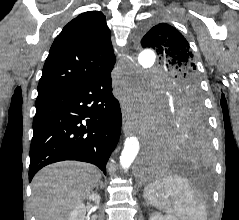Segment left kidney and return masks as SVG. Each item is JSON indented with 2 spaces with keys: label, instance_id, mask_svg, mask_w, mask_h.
<instances>
[{
  "label": "left kidney",
  "instance_id": "left-kidney-1",
  "mask_svg": "<svg viewBox=\"0 0 239 220\" xmlns=\"http://www.w3.org/2000/svg\"><path fill=\"white\" fill-rule=\"evenodd\" d=\"M149 220H178V218L171 214L162 215L161 213H153Z\"/></svg>",
  "mask_w": 239,
  "mask_h": 220
}]
</instances>
